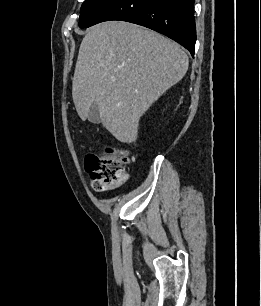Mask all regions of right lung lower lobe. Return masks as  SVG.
Instances as JSON below:
<instances>
[{"label":"right lung lower lobe","mask_w":261,"mask_h":306,"mask_svg":"<svg viewBox=\"0 0 261 306\" xmlns=\"http://www.w3.org/2000/svg\"><path fill=\"white\" fill-rule=\"evenodd\" d=\"M109 20L155 30L180 43L194 56V0H114L87 27Z\"/></svg>","instance_id":"right-lung-lower-lobe-1"}]
</instances>
